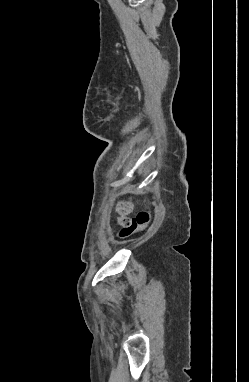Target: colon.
Segmentation results:
<instances>
[{
    "label": "colon",
    "mask_w": 249,
    "mask_h": 382,
    "mask_svg": "<svg viewBox=\"0 0 249 382\" xmlns=\"http://www.w3.org/2000/svg\"><path fill=\"white\" fill-rule=\"evenodd\" d=\"M133 204L129 200H121L116 205L117 223L120 226L119 238L121 240L129 238L131 235L144 229L150 222V213L146 210L140 211L136 217L129 216Z\"/></svg>",
    "instance_id": "obj_1"
}]
</instances>
